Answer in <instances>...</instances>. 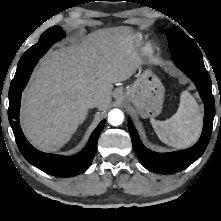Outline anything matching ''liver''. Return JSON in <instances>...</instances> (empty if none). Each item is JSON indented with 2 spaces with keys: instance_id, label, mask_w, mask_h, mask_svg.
Segmentation results:
<instances>
[{
  "instance_id": "6515ba94",
  "label": "liver",
  "mask_w": 221,
  "mask_h": 221,
  "mask_svg": "<svg viewBox=\"0 0 221 221\" xmlns=\"http://www.w3.org/2000/svg\"><path fill=\"white\" fill-rule=\"evenodd\" d=\"M128 27L97 30L82 42L49 51L22 94L21 126L38 149L55 152L84 122L87 101L99 98L104 111L111 103L113 83L129 79L138 58Z\"/></svg>"
}]
</instances>
